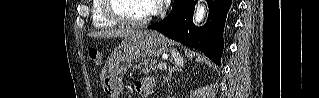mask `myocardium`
I'll use <instances>...</instances> for the list:
<instances>
[{
	"mask_svg": "<svg viewBox=\"0 0 319 98\" xmlns=\"http://www.w3.org/2000/svg\"><path fill=\"white\" fill-rule=\"evenodd\" d=\"M104 12L106 17L112 21L115 25L130 27V28H139L147 23H149L157 14L156 10L153 8L150 14H148L145 18L140 20H131L123 18L113 11V0H104Z\"/></svg>",
	"mask_w": 319,
	"mask_h": 98,
	"instance_id": "f54148a6",
	"label": "myocardium"
}]
</instances>
